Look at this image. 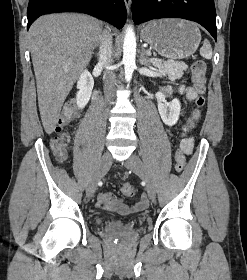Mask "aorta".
Here are the masks:
<instances>
[{"instance_id":"obj_1","label":"aorta","mask_w":247,"mask_h":280,"mask_svg":"<svg viewBox=\"0 0 247 280\" xmlns=\"http://www.w3.org/2000/svg\"><path fill=\"white\" fill-rule=\"evenodd\" d=\"M136 57V37L132 26H128L125 32L123 43V64L125 70V80L129 82L135 68Z\"/></svg>"}]
</instances>
